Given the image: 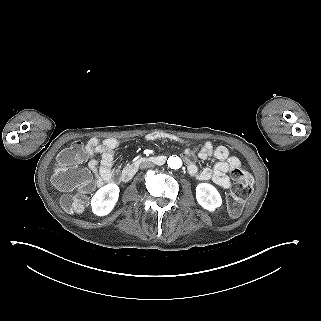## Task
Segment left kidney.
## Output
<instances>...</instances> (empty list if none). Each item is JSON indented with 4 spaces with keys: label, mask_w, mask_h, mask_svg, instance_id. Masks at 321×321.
Segmentation results:
<instances>
[{
    "label": "left kidney",
    "mask_w": 321,
    "mask_h": 321,
    "mask_svg": "<svg viewBox=\"0 0 321 321\" xmlns=\"http://www.w3.org/2000/svg\"><path fill=\"white\" fill-rule=\"evenodd\" d=\"M195 190L197 203L210 213H215L216 209L222 205L221 195L214 185L199 183Z\"/></svg>",
    "instance_id": "1"
}]
</instances>
